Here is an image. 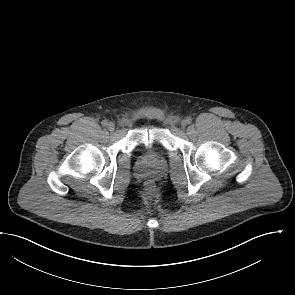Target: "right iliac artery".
Here are the masks:
<instances>
[{"label": "right iliac artery", "instance_id": "1", "mask_svg": "<svg viewBox=\"0 0 295 295\" xmlns=\"http://www.w3.org/2000/svg\"><path fill=\"white\" fill-rule=\"evenodd\" d=\"M101 124H102V126H107V125H108V121H107V120H103V121L101 122Z\"/></svg>", "mask_w": 295, "mask_h": 295}]
</instances>
